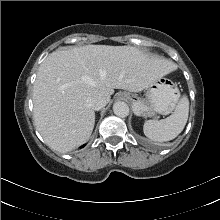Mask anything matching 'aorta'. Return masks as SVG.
Segmentation results:
<instances>
[{"instance_id":"aorta-1","label":"aorta","mask_w":220,"mask_h":220,"mask_svg":"<svg viewBox=\"0 0 220 220\" xmlns=\"http://www.w3.org/2000/svg\"><path fill=\"white\" fill-rule=\"evenodd\" d=\"M114 114L118 117L124 118L129 115V107L125 102L118 101L113 105Z\"/></svg>"}]
</instances>
